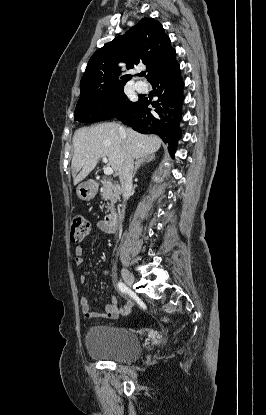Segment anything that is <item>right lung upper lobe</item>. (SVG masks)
<instances>
[{
    "label": "right lung upper lobe",
    "mask_w": 266,
    "mask_h": 415,
    "mask_svg": "<svg viewBox=\"0 0 266 415\" xmlns=\"http://www.w3.org/2000/svg\"><path fill=\"white\" fill-rule=\"evenodd\" d=\"M119 61L125 62L127 69L145 64L149 82L178 64L162 25L153 18H143L92 55L80 82V98L124 86L132 75H121Z\"/></svg>",
    "instance_id": "cb5924a9"
}]
</instances>
